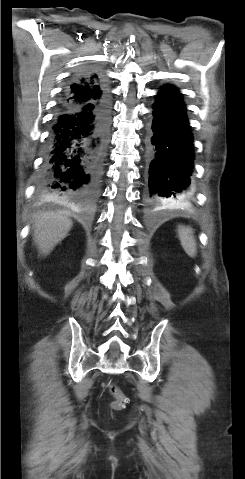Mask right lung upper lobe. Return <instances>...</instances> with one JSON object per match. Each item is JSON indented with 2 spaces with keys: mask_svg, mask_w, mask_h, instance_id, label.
I'll return each instance as SVG.
<instances>
[{
  "mask_svg": "<svg viewBox=\"0 0 245 479\" xmlns=\"http://www.w3.org/2000/svg\"><path fill=\"white\" fill-rule=\"evenodd\" d=\"M107 94L103 78L96 73L89 72L67 88L62 103L84 105L98 101Z\"/></svg>",
  "mask_w": 245,
  "mask_h": 479,
  "instance_id": "right-lung-upper-lobe-1",
  "label": "right lung upper lobe"
}]
</instances>
